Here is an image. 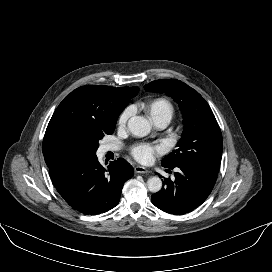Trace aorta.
Returning <instances> with one entry per match:
<instances>
[{
    "instance_id": "aorta-1",
    "label": "aorta",
    "mask_w": 272,
    "mask_h": 272,
    "mask_svg": "<svg viewBox=\"0 0 272 272\" xmlns=\"http://www.w3.org/2000/svg\"><path fill=\"white\" fill-rule=\"evenodd\" d=\"M129 131L136 137H144L151 131V124L149 121L141 116H133L128 121ZM148 190L156 193L162 188V181L159 177L154 176L147 181Z\"/></svg>"
}]
</instances>
